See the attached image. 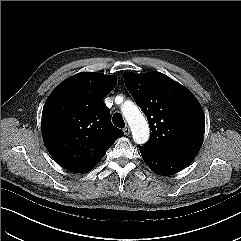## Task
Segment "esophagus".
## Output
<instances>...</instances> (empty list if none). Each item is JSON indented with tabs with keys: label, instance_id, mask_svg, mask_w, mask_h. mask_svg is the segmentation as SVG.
<instances>
[{
	"label": "esophagus",
	"instance_id": "obj_1",
	"mask_svg": "<svg viewBox=\"0 0 241 241\" xmlns=\"http://www.w3.org/2000/svg\"><path fill=\"white\" fill-rule=\"evenodd\" d=\"M123 132L125 135H129L130 134V128L128 126H126L124 129H123Z\"/></svg>",
	"mask_w": 241,
	"mask_h": 241
}]
</instances>
